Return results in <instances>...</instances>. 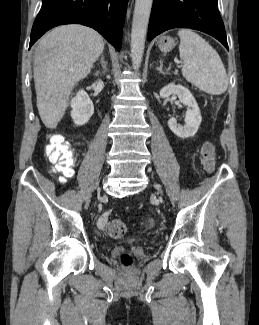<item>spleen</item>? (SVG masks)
Here are the masks:
<instances>
[{
	"label": "spleen",
	"mask_w": 259,
	"mask_h": 325,
	"mask_svg": "<svg viewBox=\"0 0 259 325\" xmlns=\"http://www.w3.org/2000/svg\"><path fill=\"white\" fill-rule=\"evenodd\" d=\"M182 75L200 90L220 95L227 90L228 78L217 51L190 29L178 31Z\"/></svg>",
	"instance_id": "spleen-1"
}]
</instances>
